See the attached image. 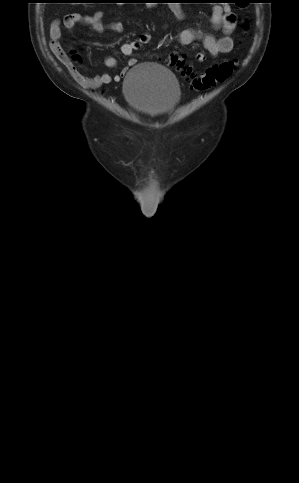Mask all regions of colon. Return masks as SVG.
<instances>
[{"instance_id":"1","label":"colon","mask_w":299,"mask_h":483,"mask_svg":"<svg viewBox=\"0 0 299 483\" xmlns=\"http://www.w3.org/2000/svg\"><path fill=\"white\" fill-rule=\"evenodd\" d=\"M72 58L75 61H79V56L76 54H73ZM169 59L171 64L178 67L191 86L197 90H207L224 82L230 77L235 68V62L228 60L212 65L204 74L199 75L189 65L185 64L180 55L171 54Z\"/></svg>"}]
</instances>
